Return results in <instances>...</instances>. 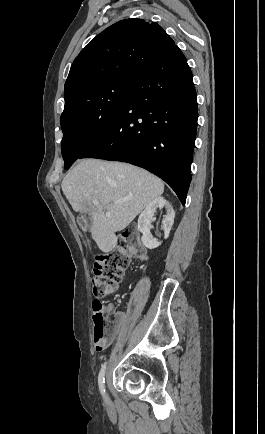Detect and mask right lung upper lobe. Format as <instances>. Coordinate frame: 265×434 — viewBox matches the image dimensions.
<instances>
[{"label": "right lung upper lobe", "instance_id": "cb5924a9", "mask_svg": "<svg viewBox=\"0 0 265 434\" xmlns=\"http://www.w3.org/2000/svg\"><path fill=\"white\" fill-rule=\"evenodd\" d=\"M175 42L157 23L121 20L98 34L75 58L64 93L107 76H138Z\"/></svg>", "mask_w": 265, "mask_h": 434}]
</instances>
